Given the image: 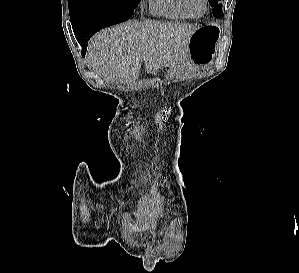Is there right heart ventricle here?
<instances>
[{
	"mask_svg": "<svg viewBox=\"0 0 299 273\" xmlns=\"http://www.w3.org/2000/svg\"><path fill=\"white\" fill-rule=\"evenodd\" d=\"M152 14L171 20H184L189 16L183 10L180 0H149Z\"/></svg>",
	"mask_w": 299,
	"mask_h": 273,
	"instance_id": "1",
	"label": "right heart ventricle"
}]
</instances>
